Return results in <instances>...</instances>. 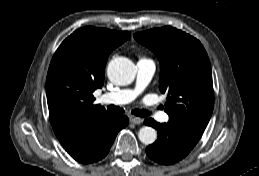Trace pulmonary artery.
<instances>
[{
	"mask_svg": "<svg viewBox=\"0 0 259 176\" xmlns=\"http://www.w3.org/2000/svg\"><path fill=\"white\" fill-rule=\"evenodd\" d=\"M136 83L133 88L119 89L106 93L100 97V101L113 105H125L134 101L146 88L155 73V63L148 58H141L137 61ZM161 122H168L169 116L163 112L157 113Z\"/></svg>",
	"mask_w": 259,
	"mask_h": 176,
	"instance_id": "1",
	"label": "pulmonary artery"
}]
</instances>
